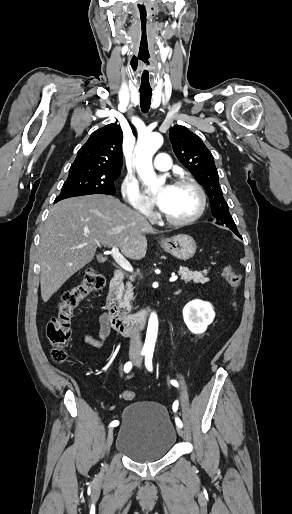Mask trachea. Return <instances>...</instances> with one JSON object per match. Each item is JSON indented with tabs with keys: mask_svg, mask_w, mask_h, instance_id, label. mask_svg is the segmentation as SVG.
Segmentation results:
<instances>
[{
	"mask_svg": "<svg viewBox=\"0 0 292 514\" xmlns=\"http://www.w3.org/2000/svg\"><path fill=\"white\" fill-rule=\"evenodd\" d=\"M151 98H152V90H141L140 89V106L143 113H147L150 105H151Z\"/></svg>",
	"mask_w": 292,
	"mask_h": 514,
	"instance_id": "1",
	"label": "trachea"
}]
</instances>
